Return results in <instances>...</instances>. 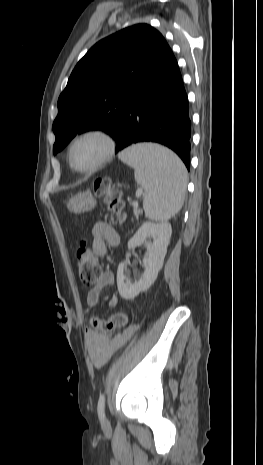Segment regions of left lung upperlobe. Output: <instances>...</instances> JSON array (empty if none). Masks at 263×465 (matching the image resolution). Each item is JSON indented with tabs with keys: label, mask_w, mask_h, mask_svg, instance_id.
I'll return each mask as SVG.
<instances>
[{
	"label": "left lung upper lobe",
	"mask_w": 263,
	"mask_h": 465,
	"mask_svg": "<svg viewBox=\"0 0 263 465\" xmlns=\"http://www.w3.org/2000/svg\"><path fill=\"white\" fill-rule=\"evenodd\" d=\"M167 46L147 24L125 28L96 43L78 62L58 99L53 153L88 130L101 129L115 138L135 84Z\"/></svg>",
	"instance_id": "1"
}]
</instances>
